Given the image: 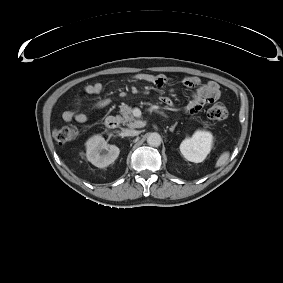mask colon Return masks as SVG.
I'll return each mask as SVG.
<instances>
[{"instance_id": "5ec220e1", "label": "colon", "mask_w": 283, "mask_h": 283, "mask_svg": "<svg viewBox=\"0 0 283 283\" xmlns=\"http://www.w3.org/2000/svg\"><path fill=\"white\" fill-rule=\"evenodd\" d=\"M208 116L214 121H221L227 118L228 110L220 103L212 105L208 110ZM55 140L60 144L72 142L79 136V130L75 126H61L53 132Z\"/></svg>"}]
</instances>
